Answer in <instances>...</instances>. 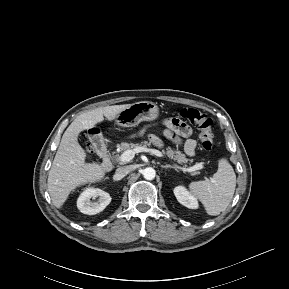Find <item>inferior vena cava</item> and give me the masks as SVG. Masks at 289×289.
<instances>
[{
    "label": "inferior vena cava",
    "instance_id": "inferior-vena-cava-1",
    "mask_svg": "<svg viewBox=\"0 0 289 289\" xmlns=\"http://www.w3.org/2000/svg\"><path fill=\"white\" fill-rule=\"evenodd\" d=\"M132 170H133V167L131 165L119 167L116 169L115 178L122 179L127 174H129Z\"/></svg>",
    "mask_w": 289,
    "mask_h": 289
}]
</instances>
